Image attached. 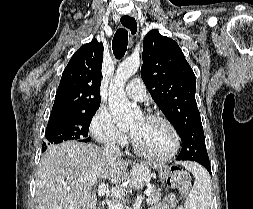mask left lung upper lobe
Here are the masks:
<instances>
[{
	"label": "left lung upper lobe",
	"mask_w": 253,
	"mask_h": 209,
	"mask_svg": "<svg viewBox=\"0 0 253 209\" xmlns=\"http://www.w3.org/2000/svg\"><path fill=\"white\" fill-rule=\"evenodd\" d=\"M142 59V80L182 139L177 159H209L195 100V74L179 45L154 29L144 38Z\"/></svg>",
	"instance_id": "left-lung-upper-lobe-1"
}]
</instances>
